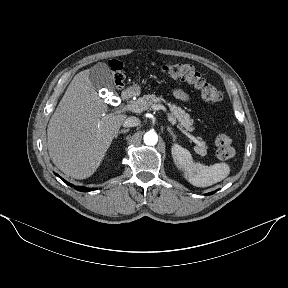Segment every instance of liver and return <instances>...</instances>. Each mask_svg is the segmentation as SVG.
<instances>
[{
	"instance_id": "1",
	"label": "liver",
	"mask_w": 288,
	"mask_h": 288,
	"mask_svg": "<svg viewBox=\"0 0 288 288\" xmlns=\"http://www.w3.org/2000/svg\"><path fill=\"white\" fill-rule=\"evenodd\" d=\"M88 74L84 70L74 76L47 128L51 160L76 179L94 174L127 117L108 113Z\"/></svg>"
}]
</instances>
